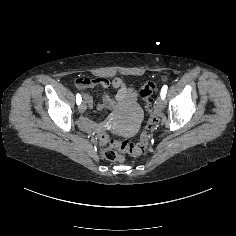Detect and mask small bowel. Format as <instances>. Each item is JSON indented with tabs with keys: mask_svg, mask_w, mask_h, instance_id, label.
I'll use <instances>...</instances> for the list:
<instances>
[{
	"mask_svg": "<svg viewBox=\"0 0 236 236\" xmlns=\"http://www.w3.org/2000/svg\"><path fill=\"white\" fill-rule=\"evenodd\" d=\"M107 84L108 83L106 82V83H101L100 85H107ZM112 84H113V86L117 87V86L121 85V81L119 79H115V80H113ZM93 85H96V84H93ZM93 85H91V86H93ZM85 100H86L87 103H88V100H89L90 101L89 105H91L92 101H91V98L89 96H86Z\"/></svg>",
	"mask_w": 236,
	"mask_h": 236,
	"instance_id": "small-bowel-1",
	"label": "small bowel"
}]
</instances>
